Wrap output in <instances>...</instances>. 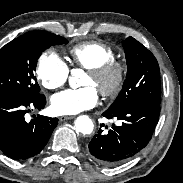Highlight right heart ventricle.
Masks as SVG:
<instances>
[{"label": "right heart ventricle", "instance_id": "right-heart-ventricle-1", "mask_svg": "<svg viewBox=\"0 0 183 183\" xmlns=\"http://www.w3.org/2000/svg\"><path fill=\"white\" fill-rule=\"evenodd\" d=\"M71 62L79 67L91 69L115 59L114 49L99 41L79 43L69 50Z\"/></svg>", "mask_w": 183, "mask_h": 183}]
</instances>
